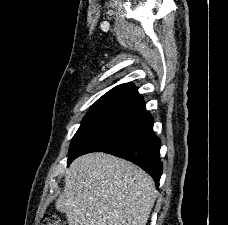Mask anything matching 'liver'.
Masks as SVG:
<instances>
[{"instance_id":"1","label":"liver","mask_w":228,"mask_h":225,"mask_svg":"<svg viewBox=\"0 0 228 225\" xmlns=\"http://www.w3.org/2000/svg\"><path fill=\"white\" fill-rule=\"evenodd\" d=\"M64 183L55 207L68 225H146L155 203L152 177L106 153L75 159Z\"/></svg>"}]
</instances>
